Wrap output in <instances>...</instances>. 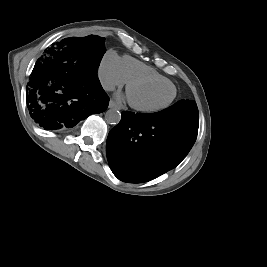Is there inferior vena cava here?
Returning <instances> with one entry per match:
<instances>
[{"mask_svg": "<svg viewBox=\"0 0 267 267\" xmlns=\"http://www.w3.org/2000/svg\"><path fill=\"white\" fill-rule=\"evenodd\" d=\"M102 86H103L104 90H106V91H113L115 89L114 84H112L108 81H105V80L102 81Z\"/></svg>", "mask_w": 267, "mask_h": 267, "instance_id": "602c4592", "label": "inferior vena cava"}]
</instances>
